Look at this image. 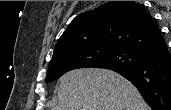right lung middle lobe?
Instances as JSON below:
<instances>
[{
	"instance_id": "obj_1",
	"label": "right lung middle lobe",
	"mask_w": 171,
	"mask_h": 110,
	"mask_svg": "<svg viewBox=\"0 0 171 110\" xmlns=\"http://www.w3.org/2000/svg\"><path fill=\"white\" fill-rule=\"evenodd\" d=\"M143 60L142 53L123 47L85 48L52 57L45 82H52L67 71L84 67H132Z\"/></svg>"
}]
</instances>
